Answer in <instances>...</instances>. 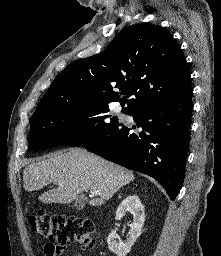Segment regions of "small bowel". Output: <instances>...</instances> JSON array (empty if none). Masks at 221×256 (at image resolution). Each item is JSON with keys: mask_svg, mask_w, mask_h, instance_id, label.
I'll list each match as a JSON object with an SVG mask.
<instances>
[{"mask_svg": "<svg viewBox=\"0 0 221 256\" xmlns=\"http://www.w3.org/2000/svg\"><path fill=\"white\" fill-rule=\"evenodd\" d=\"M45 256H55L54 254L48 253V252H44ZM76 256H83L81 253H77Z\"/></svg>", "mask_w": 221, "mask_h": 256, "instance_id": "c3829d8e", "label": "small bowel"}]
</instances>
